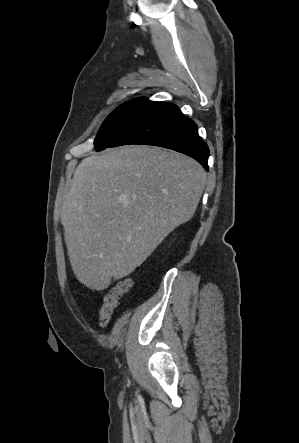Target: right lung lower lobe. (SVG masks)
Segmentation results:
<instances>
[{
	"instance_id": "obj_1",
	"label": "right lung lower lobe",
	"mask_w": 299,
	"mask_h": 443,
	"mask_svg": "<svg viewBox=\"0 0 299 443\" xmlns=\"http://www.w3.org/2000/svg\"><path fill=\"white\" fill-rule=\"evenodd\" d=\"M127 144L172 149L191 156L208 170L209 149L198 135L197 125L172 103L152 102L109 147Z\"/></svg>"
}]
</instances>
